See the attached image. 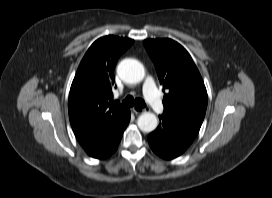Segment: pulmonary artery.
I'll return each mask as SVG.
<instances>
[{"mask_svg": "<svg viewBox=\"0 0 272 198\" xmlns=\"http://www.w3.org/2000/svg\"><path fill=\"white\" fill-rule=\"evenodd\" d=\"M144 95L150 106L157 112H164V105L159 96L154 80L151 77H147L143 87Z\"/></svg>", "mask_w": 272, "mask_h": 198, "instance_id": "obj_1", "label": "pulmonary artery"}]
</instances>
